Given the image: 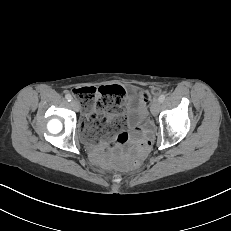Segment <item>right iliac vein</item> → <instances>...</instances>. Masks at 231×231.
<instances>
[{
	"mask_svg": "<svg viewBox=\"0 0 231 231\" xmlns=\"http://www.w3.org/2000/svg\"><path fill=\"white\" fill-rule=\"evenodd\" d=\"M71 106L74 110L78 111L79 110V103L76 100L71 101Z\"/></svg>",
	"mask_w": 231,
	"mask_h": 231,
	"instance_id": "obj_1",
	"label": "right iliac vein"
}]
</instances>
